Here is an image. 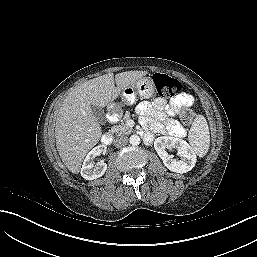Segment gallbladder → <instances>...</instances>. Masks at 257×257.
<instances>
[{"instance_id": "1", "label": "gallbladder", "mask_w": 257, "mask_h": 257, "mask_svg": "<svg viewBox=\"0 0 257 257\" xmlns=\"http://www.w3.org/2000/svg\"><path fill=\"white\" fill-rule=\"evenodd\" d=\"M93 115L97 118L99 122H104V113L98 106H91Z\"/></svg>"}]
</instances>
